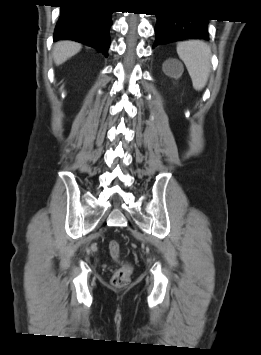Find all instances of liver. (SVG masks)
Here are the masks:
<instances>
[{
    "label": "liver",
    "mask_w": 261,
    "mask_h": 355,
    "mask_svg": "<svg viewBox=\"0 0 261 355\" xmlns=\"http://www.w3.org/2000/svg\"><path fill=\"white\" fill-rule=\"evenodd\" d=\"M82 45L73 41H59L53 48V58L56 65H61L69 58L77 54Z\"/></svg>",
    "instance_id": "6515ba94"
}]
</instances>
